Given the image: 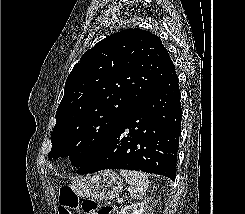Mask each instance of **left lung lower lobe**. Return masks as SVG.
<instances>
[{
    "label": "left lung lower lobe",
    "instance_id": "left-lung-lower-lobe-1",
    "mask_svg": "<svg viewBox=\"0 0 245 214\" xmlns=\"http://www.w3.org/2000/svg\"><path fill=\"white\" fill-rule=\"evenodd\" d=\"M182 108L174 71L146 96L76 171L129 169L176 178Z\"/></svg>",
    "mask_w": 245,
    "mask_h": 214
}]
</instances>
